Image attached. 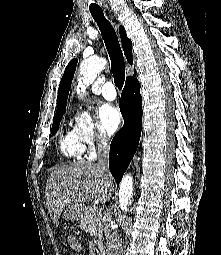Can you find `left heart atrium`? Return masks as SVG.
<instances>
[{
  "instance_id": "1",
  "label": "left heart atrium",
  "mask_w": 221,
  "mask_h": 255,
  "mask_svg": "<svg viewBox=\"0 0 221 255\" xmlns=\"http://www.w3.org/2000/svg\"><path fill=\"white\" fill-rule=\"evenodd\" d=\"M99 118L102 127L108 132H114L122 117L119 109L111 104H104L99 109Z\"/></svg>"
}]
</instances>
